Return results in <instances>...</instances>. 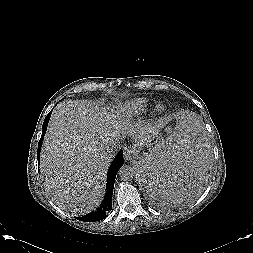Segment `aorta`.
I'll use <instances>...</instances> for the list:
<instances>
[{"mask_svg":"<svg viewBox=\"0 0 253 253\" xmlns=\"http://www.w3.org/2000/svg\"><path fill=\"white\" fill-rule=\"evenodd\" d=\"M134 174H135V171L133 167L128 166V165L122 166L120 170L118 171V175L123 181L132 180L134 177Z\"/></svg>","mask_w":253,"mask_h":253,"instance_id":"obj_1","label":"aorta"}]
</instances>
